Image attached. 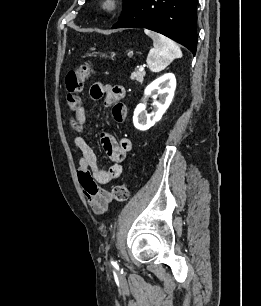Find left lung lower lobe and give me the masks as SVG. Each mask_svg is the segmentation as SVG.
Wrapping results in <instances>:
<instances>
[{"instance_id":"obj_1","label":"left lung lower lobe","mask_w":261,"mask_h":306,"mask_svg":"<svg viewBox=\"0 0 261 306\" xmlns=\"http://www.w3.org/2000/svg\"><path fill=\"white\" fill-rule=\"evenodd\" d=\"M197 2L198 0H137L112 29L147 28L184 45L195 55Z\"/></svg>"}]
</instances>
